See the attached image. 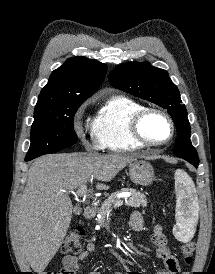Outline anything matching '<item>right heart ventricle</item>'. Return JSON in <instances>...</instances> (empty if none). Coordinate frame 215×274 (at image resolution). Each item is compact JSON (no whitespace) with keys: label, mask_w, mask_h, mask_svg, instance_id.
I'll return each instance as SVG.
<instances>
[{"label":"right heart ventricle","mask_w":215,"mask_h":274,"mask_svg":"<svg viewBox=\"0 0 215 274\" xmlns=\"http://www.w3.org/2000/svg\"><path fill=\"white\" fill-rule=\"evenodd\" d=\"M144 106L124 96H112L100 107L91 123L95 142L101 149L120 152L143 147L130 132L132 117Z\"/></svg>","instance_id":"right-heart-ventricle-1"}]
</instances>
